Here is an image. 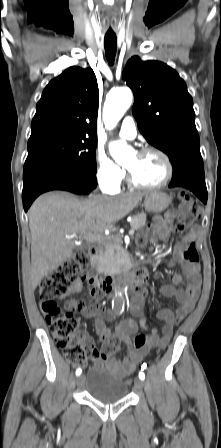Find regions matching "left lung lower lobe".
<instances>
[{"mask_svg":"<svg viewBox=\"0 0 221 448\" xmlns=\"http://www.w3.org/2000/svg\"><path fill=\"white\" fill-rule=\"evenodd\" d=\"M169 187H184L192 191L201 201L207 202V189L202 157L189 159L173 168Z\"/></svg>","mask_w":221,"mask_h":448,"instance_id":"left-lung-lower-lobe-1","label":"left lung lower lobe"}]
</instances>
